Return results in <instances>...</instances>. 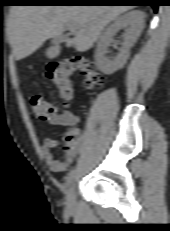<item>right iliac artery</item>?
<instances>
[{
  "label": "right iliac artery",
  "instance_id": "obj_1",
  "mask_svg": "<svg viewBox=\"0 0 170 231\" xmlns=\"http://www.w3.org/2000/svg\"><path fill=\"white\" fill-rule=\"evenodd\" d=\"M74 176H75V171L72 170L67 176V186H70L72 184Z\"/></svg>",
  "mask_w": 170,
  "mask_h": 231
}]
</instances>
